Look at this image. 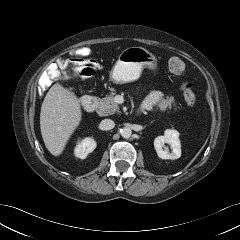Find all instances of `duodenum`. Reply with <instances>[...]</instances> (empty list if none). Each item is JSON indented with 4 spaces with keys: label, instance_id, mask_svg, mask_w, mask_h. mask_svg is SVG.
I'll list each match as a JSON object with an SVG mask.
<instances>
[{
    "label": "duodenum",
    "instance_id": "410a0bca",
    "mask_svg": "<svg viewBox=\"0 0 240 240\" xmlns=\"http://www.w3.org/2000/svg\"><path fill=\"white\" fill-rule=\"evenodd\" d=\"M81 107L85 112H92L96 107V100L90 96H85L81 99ZM139 111L137 115H139Z\"/></svg>",
    "mask_w": 240,
    "mask_h": 240
}]
</instances>
